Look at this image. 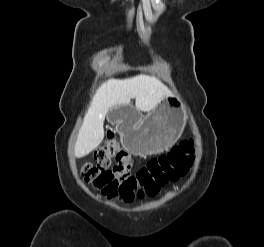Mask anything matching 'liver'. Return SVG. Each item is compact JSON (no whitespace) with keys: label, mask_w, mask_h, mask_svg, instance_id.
I'll list each match as a JSON object with an SVG mask.
<instances>
[{"label":"liver","mask_w":264,"mask_h":247,"mask_svg":"<svg viewBox=\"0 0 264 247\" xmlns=\"http://www.w3.org/2000/svg\"><path fill=\"white\" fill-rule=\"evenodd\" d=\"M168 94V88L158 79L145 75L105 82L97 90L84 117L75 144V156L84 157L100 145L104 138L103 122L109 109L116 105H128L135 98L136 108L148 112Z\"/></svg>","instance_id":"6515ba94"}]
</instances>
